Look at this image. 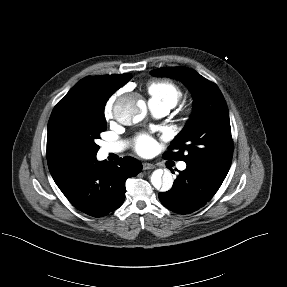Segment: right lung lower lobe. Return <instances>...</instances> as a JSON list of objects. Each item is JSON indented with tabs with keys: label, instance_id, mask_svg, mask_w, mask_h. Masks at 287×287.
<instances>
[{
	"label": "right lung lower lobe",
	"instance_id": "98d812e1",
	"mask_svg": "<svg viewBox=\"0 0 287 287\" xmlns=\"http://www.w3.org/2000/svg\"><path fill=\"white\" fill-rule=\"evenodd\" d=\"M142 170L137 159L126 156L113 164L96 157L87 160L60 188L78 210L102 217L119 208L125 199V181Z\"/></svg>",
	"mask_w": 287,
	"mask_h": 287
}]
</instances>
